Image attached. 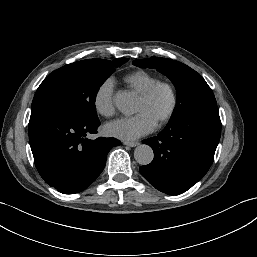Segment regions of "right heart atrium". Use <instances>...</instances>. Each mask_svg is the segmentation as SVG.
I'll list each match as a JSON object with an SVG mask.
<instances>
[{
  "instance_id": "right-heart-atrium-1",
  "label": "right heart atrium",
  "mask_w": 257,
  "mask_h": 257,
  "mask_svg": "<svg viewBox=\"0 0 257 257\" xmlns=\"http://www.w3.org/2000/svg\"><path fill=\"white\" fill-rule=\"evenodd\" d=\"M93 105L96 112L103 117L114 115L116 106L111 80H106L98 86L93 97Z\"/></svg>"
}]
</instances>
